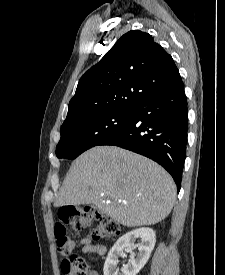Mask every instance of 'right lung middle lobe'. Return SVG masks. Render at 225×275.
Instances as JSON below:
<instances>
[{
	"label": "right lung middle lobe",
	"instance_id": "obj_1",
	"mask_svg": "<svg viewBox=\"0 0 225 275\" xmlns=\"http://www.w3.org/2000/svg\"><path fill=\"white\" fill-rule=\"evenodd\" d=\"M131 110L102 112L77 119L61 127L56 147L58 158L75 159L84 151L99 145L121 129L129 120Z\"/></svg>",
	"mask_w": 225,
	"mask_h": 275
}]
</instances>
